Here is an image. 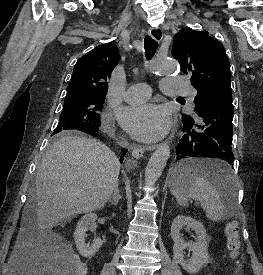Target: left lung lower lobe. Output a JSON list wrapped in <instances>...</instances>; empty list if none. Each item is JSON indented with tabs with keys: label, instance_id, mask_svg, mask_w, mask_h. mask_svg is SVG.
<instances>
[{
	"label": "left lung lower lobe",
	"instance_id": "1",
	"mask_svg": "<svg viewBox=\"0 0 263 275\" xmlns=\"http://www.w3.org/2000/svg\"><path fill=\"white\" fill-rule=\"evenodd\" d=\"M197 114L200 123L193 119H182L183 135L176 145L175 158H218L230 168L229 165L233 166L234 161L231 150L234 114L231 93H221L207 101L197 110ZM199 174L219 182L218 178L224 172L220 169H203Z\"/></svg>",
	"mask_w": 263,
	"mask_h": 275
}]
</instances>
